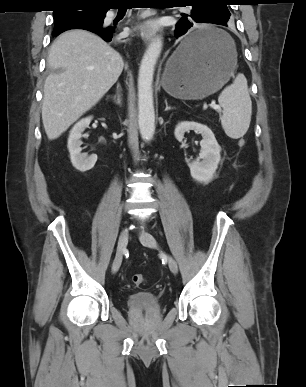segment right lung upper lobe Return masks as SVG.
I'll list each match as a JSON object with an SVG mask.
<instances>
[{"label": "right lung upper lobe", "instance_id": "1", "mask_svg": "<svg viewBox=\"0 0 306 387\" xmlns=\"http://www.w3.org/2000/svg\"><path fill=\"white\" fill-rule=\"evenodd\" d=\"M58 1H59L60 8H67L71 5L78 4L82 6L99 7L107 11L108 6L112 4L113 0H58Z\"/></svg>", "mask_w": 306, "mask_h": 387}]
</instances>
